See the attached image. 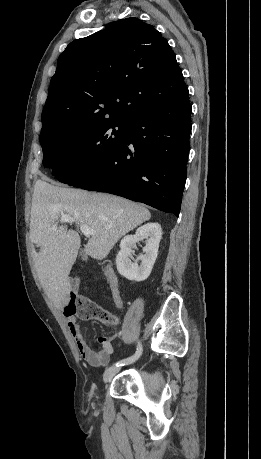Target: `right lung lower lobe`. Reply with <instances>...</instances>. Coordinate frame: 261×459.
<instances>
[{
  "mask_svg": "<svg viewBox=\"0 0 261 459\" xmlns=\"http://www.w3.org/2000/svg\"><path fill=\"white\" fill-rule=\"evenodd\" d=\"M191 132L188 88L130 121L128 136L110 158L69 185L107 192L179 216Z\"/></svg>",
  "mask_w": 261,
  "mask_h": 459,
  "instance_id": "1",
  "label": "right lung lower lobe"
}]
</instances>
